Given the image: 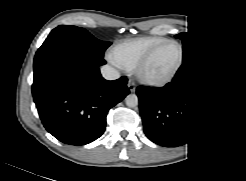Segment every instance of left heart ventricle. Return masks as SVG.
<instances>
[{"instance_id":"1","label":"left heart ventricle","mask_w":246,"mask_h":181,"mask_svg":"<svg viewBox=\"0 0 246 181\" xmlns=\"http://www.w3.org/2000/svg\"><path fill=\"white\" fill-rule=\"evenodd\" d=\"M179 54V49L175 45L165 47L158 57L154 60L150 67L153 73L165 74L176 63Z\"/></svg>"}]
</instances>
